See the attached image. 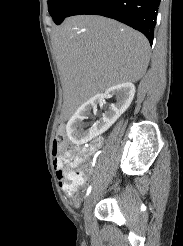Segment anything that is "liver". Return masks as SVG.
<instances>
[{
  "label": "liver",
  "mask_w": 183,
  "mask_h": 246,
  "mask_svg": "<svg viewBox=\"0 0 183 246\" xmlns=\"http://www.w3.org/2000/svg\"><path fill=\"white\" fill-rule=\"evenodd\" d=\"M52 40L64 105L70 111L112 86L137 82L148 67L146 37L102 16L67 18Z\"/></svg>",
  "instance_id": "1"
}]
</instances>
